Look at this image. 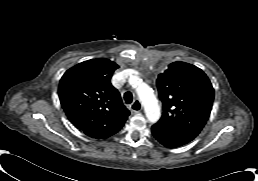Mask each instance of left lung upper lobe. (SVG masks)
Masks as SVG:
<instances>
[{"mask_svg":"<svg viewBox=\"0 0 258 181\" xmlns=\"http://www.w3.org/2000/svg\"><path fill=\"white\" fill-rule=\"evenodd\" d=\"M163 114L157 125L196 137L209 118L214 89L198 67L174 62L157 79Z\"/></svg>","mask_w":258,"mask_h":181,"instance_id":"obj_1","label":"left lung upper lobe"}]
</instances>
